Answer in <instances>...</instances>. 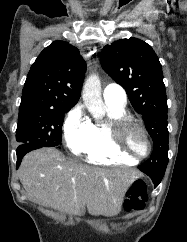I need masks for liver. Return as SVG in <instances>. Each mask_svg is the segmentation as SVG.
I'll use <instances>...</instances> for the list:
<instances>
[{
    "label": "liver",
    "mask_w": 187,
    "mask_h": 242,
    "mask_svg": "<svg viewBox=\"0 0 187 242\" xmlns=\"http://www.w3.org/2000/svg\"><path fill=\"white\" fill-rule=\"evenodd\" d=\"M139 175L131 169L72 161L52 148L27 154L19 168L20 182L33 201L73 215H84L87 207L89 214L107 217L121 211L124 196Z\"/></svg>",
    "instance_id": "obj_1"
}]
</instances>
